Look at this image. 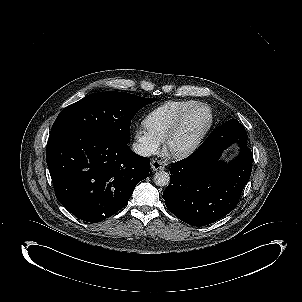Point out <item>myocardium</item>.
Here are the masks:
<instances>
[{
  "label": "myocardium",
  "mask_w": 302,
  "mask_h": 302,
  "mask_svg": "<svg viewBox=\"0 0 302 302\" xmlns=\"http://www.w3.org/2000/svg\"><path fill=\"white\" fill-rule=\"evenodd\" d=\"M203 109L207 112V120L202 128V130L199 132V134L191 141L188 145L182 148H173L171 146V140L174 136V134L177 132V130L180 128L183 121L192 113H194L197 110ZM213 120V115L210 107L206 104H196L193 107H191L189 110L184 112L174 123V125L171 127L169 132L167 133L165 140H164V151L171 157L174 158H180L183 157L189 153H191L202 141L206 133L208 132Z\"/></svg>",
  "instance_id": "1"
}]
</instances>
